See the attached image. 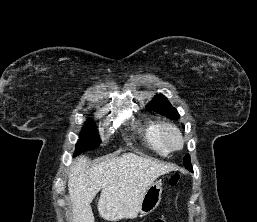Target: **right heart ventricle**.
<instances>
[{
    "mask_svg": "<svg viewBox=\"0 0 257 222\" xmlns=\"http://www.w3.org/2000/svg\"><path fill=\"white\" fill-rule=\"evenodd\" d=\"M162 123L154 119H146L136 124V132L141 141L153 151L159 154H167L168 150L160 138V127Z\"/></svg>",
    "mask_w": 257,
    "mask_h": 222,
    "instance_id": "1",
    "label": "right heart ventricle"
}]
</instances>
